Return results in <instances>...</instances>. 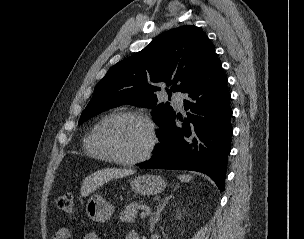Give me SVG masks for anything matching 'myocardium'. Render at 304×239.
<instances>
[{"label": "myocardium", "mask_w": 304, "mask_h": 239, "mask_svg": "<svg viewBox=\"0 0 304 239\" xmlns=\"http://www.w3.org/2000/svg\"><path fill=\"white\" fill-rule=\"evenodd\" d=\"M122 119H136L146 124L149 128L150 142L145 151L137 157L123 158L119 156L106 141L105 133L107 128ZM96 140L98 146L108 156L109 160L121 165H135L147 160L152 155L158 142V134L155 124L145 114L137 111H121L110 115L101 123L96 134Z\"/></svg>", "instance_id": "f54148a6"}]
</instances>
